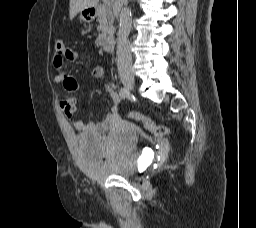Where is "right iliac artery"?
<instances>
[{
  "label": "right iliac artery",
  "mask_w": 256,
  "mask_h": 228,
  "mask_svg": "<svg viewBox=\"0 0 256 228\" xmlns=\"http://www.w3.org/2000/svg\"><path fill=\"white\" fill-rule=\"evenodd\" d=\"M119 95L122 99H125L129 96V92L127 91L126 88H121L120 92H119Z\"/></svg>",
  "instance_id": "82829eb1"
}]
</instances>
